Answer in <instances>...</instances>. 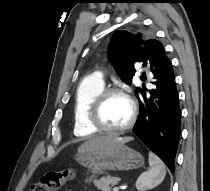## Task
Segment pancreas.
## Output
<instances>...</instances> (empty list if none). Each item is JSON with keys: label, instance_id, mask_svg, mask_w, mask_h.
Segmentation results:
<instances>
[{"label": "pancreas", "instance_id": "cf45deb5", "mask_svg": "<svg viewBox=\"0 0 210 191\" xmlns=\"http://www.w3.org/2000/svg\"><path fill=\"white\" fill-rule=\"evenodd\" d=\"M119 181L118 177L111 176L102 177L100 180L93 179L94 185L101 191H111L112 186L116 185Z\"/></svg>", "mask_w": 210, "mask_h": 191}]
</instances>
